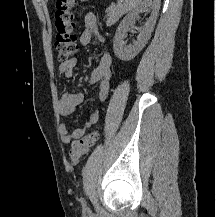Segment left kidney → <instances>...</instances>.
<instances>
[{
	"label": "left kidney",
	"instance_id": "obj_1",
	"mask_svg": "<svg viewBox=\"0 0 216 217\" xmlns=\"http://www.w3.org/2000/svg\"><path fill=\"white\" fill-rule=\"evenodd\" d=\"M160 1L161 0H144L133 11L124 17L116 30L113 40V49L116 57L123 61H129L143 49L154 29L160 9ZM146 9H151V15L147 23L144 27L140 28L137 41L127 46L123 41L127 30L135 22L138 15Z\"/></svg>",
	"mask_w": 216,
	"mask_h": 217
}]
</instances>
